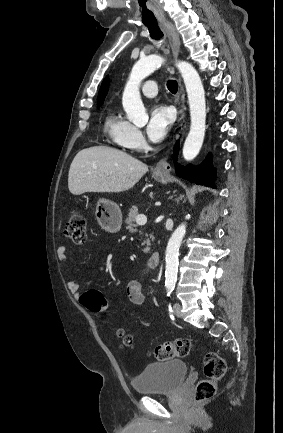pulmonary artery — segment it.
<instances>
[{"label":"pulmonary artery","instance_id":"1","mask_svg":"<svg viewBox=\"0 0 283 433\" xmlns=\"http://www.w3.org/2000/svg\"><path fill=\"white\" fill-rule=\"evenodd\" d=\"M156 85H160V80L149 79L142 85L141 91L146 97H156Z\"/></svg>","mask_w":283,"mask_h":433}]
</instances>
